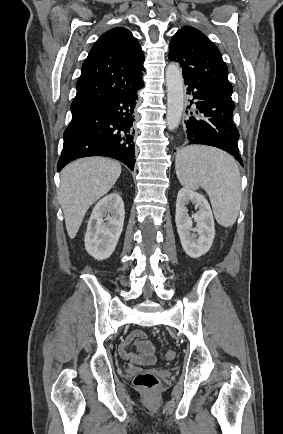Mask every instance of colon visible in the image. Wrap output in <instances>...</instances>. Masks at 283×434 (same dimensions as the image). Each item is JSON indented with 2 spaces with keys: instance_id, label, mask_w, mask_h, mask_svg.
<instances>
[{
  "instance_id": "1",
  "label": "colon",
  "mask_w": 283,
  "mask_h": 434,
  "mask_svg": "<svg viewBox=\"0 0 283 434\" xmlns=\"http://www.w3.org/2000/svg\"><path fill=\"white\" fill-rule=\"evenodd\" d=\"M166 361H172L176 357L174 350H166L163 354ZM134 384L141 388L152 390L159 384V379L151 373H140L134 379Z\"/></svg>"
}]
</instances>
